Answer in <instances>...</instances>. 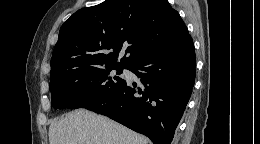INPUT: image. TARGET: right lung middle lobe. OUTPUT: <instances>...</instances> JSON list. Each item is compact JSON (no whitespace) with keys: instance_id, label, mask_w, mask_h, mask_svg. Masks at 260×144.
I'll return each mask as SVG.
<instances>
[{"instance_id":"right-lung-middle-lobe-1","label":"right lung middle lobe","mask_w":260,"mask_h":144,"mask_svg":"<svg viewBox=\"0 0 260 144\" xmlns=\"http://www.w3.org/2000/svg\"><path fill=\"white\" fill-rule=\"evenodd\" d=\"M122 66L104 65L71 70L50 77L51 105L55 109L81 108L105 98L125 82ZM118 76H109L111 70Z\"/></svg>"}]
</instances>
